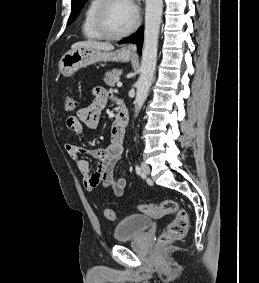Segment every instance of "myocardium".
I'll list each match as a JSON object with an SVG mask.
<instances>
[{"instance_id": "1", "label": "myocardium", "mask_w": 259, "mask_h": 283, "mask_svg": "<svg viewBox=\"0 0 259 283\" xmlns=\"http://www.w3.org/2000/svg\"><path fill=\"white\" fill-rule=\"evenodd\" d=\"M114 0H101L95 13V27L98 33L106 39L118 40L130 35L139 24V15L136 10H134V20L129 28L120 33H112L108 30L105 22V15L108 7Z\"/></svg>"}]
</instances>
